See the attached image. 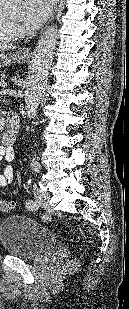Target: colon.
I'll return each instance as SVG.
<instances>
[{
    "label": "colon",
    "instance_id": "colon-1",
    "mask_svg": "<svg viewBox=\"0 0 129 309\" xmlns=\"http://www.w3.org/2000/svg\"><path fill=\"white\" fill-rule=\"evenodd\" d=\"M16 203L14 201H7L4 199H0V212L6 213L14 209ZM78 266V262L75 260H71L66 264L68 269H74Z\"/></svg>",
    "mask_w": 129,
    "mask_h": 309
}]
</instances>
